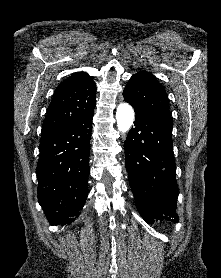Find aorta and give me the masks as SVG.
Returning <instances> with one entry per match:
<instances>
[{
  "mask_svg": "<svg viewBox=\"0 0 221 278\" xmlns=\"http://www.w3.org/2000/svg\"><path fill=\"white\" fill-rule=\"evenodd\" d=\"M118 130L125 133L130 130L134 122V110L127 104L123 103L117 107L116 111Z\"/></svg>",
  "mask_w": 221,
  "mask_h": 278,
  "instance_id": "762f6f07",
  "label": "aorta"
}]
</instances>
